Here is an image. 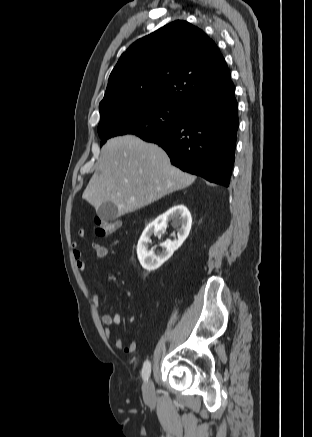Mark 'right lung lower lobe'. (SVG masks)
<instances>
[{
	"label": "right lung lower lobe",
	"mask_w": 312,
	"mask_h": 437,
	"mask_svg": "<svg viewBox=\"0 0 312 437\" xmlns=\"http://www.w3.org/2000/svg\"><path fill=\"white\" fill-rule=\"evenodd\" d=\"M238 126L235 86L230 81L185 108L177 125L143 140L161 146L181 170L228 187Z\"/></svg>",
	"instance_id": "98d812e1"
}]
</instances>
